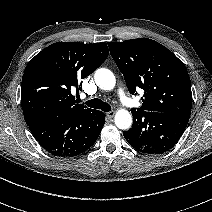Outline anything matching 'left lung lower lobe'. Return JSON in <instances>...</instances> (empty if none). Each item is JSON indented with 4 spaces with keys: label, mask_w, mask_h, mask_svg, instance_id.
Instances as JSON below:
<instances>
[{
    "label": "left lung lower lobe",
    "mask_w": 212,
    "mask_h": 212,
    "mask_svg": "<svg viewBox=\"0 0 212 212\" xmlns=\"http://www.w3.org/2000/svg\"><path fill=\"white\" fill-rule=\"evenodd\" d=\"M132 115V128L123 135L133 148L147 154H162L171 149L182 136L190 117L157 111Z\"/></svg>",
    "instance_id": "1"
}]
</instances>
